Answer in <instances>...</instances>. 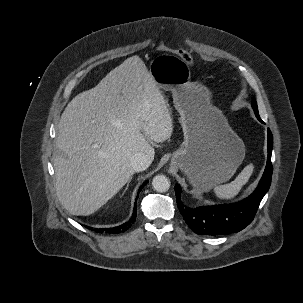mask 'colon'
<instances>
[{
    "label": "colon",
    "mask_w": 303,
    "mask_h": 303,
    "mask_svg": "<svg viewBox=\"0 0 303 303\" xmlns=\"http://www.w3.org/2000/svg\"><path fill=\"white\" fill-rule=\"evenodd\" d=\"M157 50L160 51V52H171V53H174L178 57H180L184 62H186L187 64H189V65L193 64V59H192L191 55L187 51H185V50L170 48L167 44H165L163 42L160 43L157 46Z\"/></svg>",
    "instance_id": "1"
}]
</instances>
